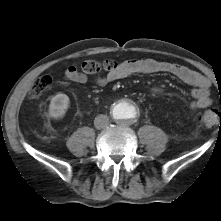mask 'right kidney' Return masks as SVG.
Listing matches in <instances>:
<instances>
[{
	"label": "right kidney",
	"instance_id": "ca27d5eb",
	"mask_svg": "<svg viewBox=\"0 0 221 221\" xmlns=\"http://www.w3.org/2000/svg\"><path fill=\"white\" fill-rule=\"evenodd\" d=\"M70 106L69 97L66 94L59 93L55 95L49 105V115L54 119L63 118Z\"/></svg>",
	"mask_w": 221,
	"mask_h": 221
}]
</instances>
